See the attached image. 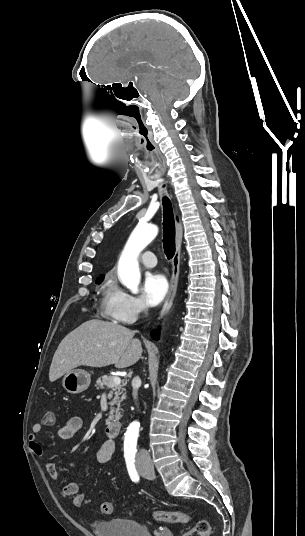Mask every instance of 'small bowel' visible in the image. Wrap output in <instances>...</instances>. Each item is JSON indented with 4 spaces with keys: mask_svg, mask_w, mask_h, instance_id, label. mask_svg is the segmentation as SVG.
<instances>
[{
    "mask_svg": "<svg viewBox=\"0 0 305 536\" xmlns=\"http://www.w3.org/2000/svg\"><path fill=\"white\" fill-rule=\"evenodd\" d=\"M83 427V420L79 416L70 417L66 424L57 430V437L61 440H68L74 437ZM43 427H32V432L29 436V446L32 452L38 456L43 454V449L38 441V434L42 431ZM115 450V444L112 440H106L102 443L101 447L96 453V461L99 464H105L110 461ZM69 466H77V461H66ZM45 470L50 478L57 479L58 470L55 463L46 461L44 464ZM62 493L65 496H75L79 493V485L75 482L68 483L63 486Z\"/></svg>",
    "mask_w": 305,
    "mask_h": 536,
    "instance_id": "obj_1",
    "label": "small bowel"
}]
</instances>
